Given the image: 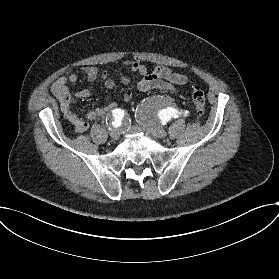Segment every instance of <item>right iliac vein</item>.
Returning a JSON list of instances; mask_svg holds the SVG:
<instances>
[{
	"mask_svg": "<svg viewBox=\"0 0 279 279\" xmlns=\"http://www.w3.org/2000/svg\"><path fill=\"white\" fill-rule=\"evenodd\" d=\"M109 134H110L111 138L114 139V140H116V139L119 138V132H118V130L115 129V128H114V129H111V130L109 131Z\"/></svg>",
	"mask_w": 279,
	"mask_h": 279,
	"instance_id": "1",
	"label": "right iliac vein"
}]
</instances>
